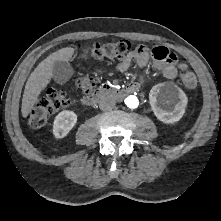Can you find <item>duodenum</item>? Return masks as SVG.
Returning <instances> with one entry per match:
<instances>
[{
  "label": "duodenum",
  "instance_id": "duodenum-1",
  "mask_svg": "<svg viewBox=\"0 0 221 221\" xmlns=\"http://www.w3.org/2000/svg\"><path fill=\"white\" fill-rule=\"evenodd\" d=\"M137 90L138 86L136 84H130L123 89H118L115 86L104 84L99 88H97L91 94L86 95L83 98V103L86 105H93L105 97H113L116 99H121L128 94L136 92Z\"/></svg>",
  "mask_w": 221,
  "mask_h": 221
}]
</instances>
